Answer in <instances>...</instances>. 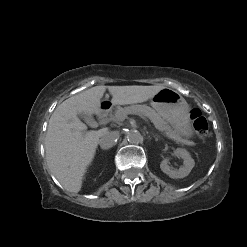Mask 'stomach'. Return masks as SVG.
Segmentation results:
<instances>
[{
	"mask_svg": "<svg viewBox=\"0 0 247 247\" xmlns=\"http://www.w3.org/2000/svg\"><path fill=\"white\" fill-rule=\"evenodd\" d=\"M151 106L162 116L182 138L193 137L189 105L181 94L165 87L151 98Z\"/></svg>",
	"mask_w": 247,
	"mask_h": 247,
	"instance_id": "obj_1",
	"label": "stomach"
}]
</instances>
